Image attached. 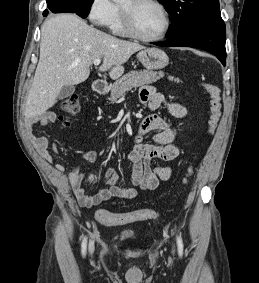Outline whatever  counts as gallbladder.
<instances>
[{"mask_svg": "<svg viewBox=\"0 0 259 283\" xmlns=\"http://www.w3.org/2000/svg\"><path fill=\"white\" fill-rule=\"evenodd\" d=\"M75 91L74 86H64L58 94V99L62 100L71 96Z\"/></svg>", "mask_w": 259, "mask_h": 283, "instance_id": "bac80fb5", "label": "gallbladder"}]
</instances>
